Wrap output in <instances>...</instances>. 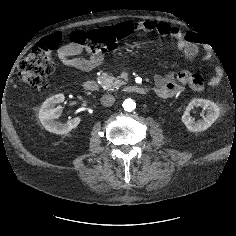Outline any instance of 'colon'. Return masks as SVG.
I'll return each mask as SVG.
<instances>
[{
    "label": "colon",
    "mask_w": 236,
    "mask_h": 236,
    "mask_svg": "<svg viewBox=\"0 0 236 236\" xmlns=\"http://www.w3.org/2000/svg\"><path fill=\"white\" fill-rule=\"evenodd\" d=\"M133 31L128 22L113 27H102L89 31H75L69 34V39L91 53L113 50ZM62 40V35L53 33L45 37L39 45L20 62L18 76L22 83L41 89L47 85L46 78L55 69L52 50Z\"/></svg>",
    "instance_id": "1"
}]
</instances>
